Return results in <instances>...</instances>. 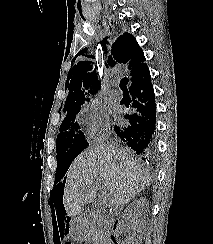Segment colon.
<instances>
[{
    "label": "colon",
    "mask_w": 213,
    "mask_h": 244,
    "mask_svg": "<svg viewBox=\"0 0 213 244\" xmlns=\"http://www.w3.org/2000/svg\"><path fill=\"white\" fill-rule=\"evenodd\" d=\"M63 244H73V243L68 241V242H64Z\"/></svg>",
    "instance_id": "colon-1"
}]
</instances>
